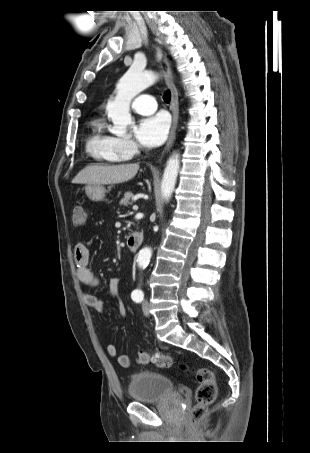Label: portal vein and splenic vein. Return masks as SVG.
<instances>
[{"label":"portal vein and splenic vein","instance_id":"obj_1","mask_svg":"<svg viewBox=\"0 0 310 453\" xmlns=\"http://www.w3.org/2000/svg\"><path fill=\"white\" fill-rule=\"evenodd\" d=\"M133 210H138V206H137V205H134V206H133Z\"/></svg>","mask_w":310,"mask_h":453}]
</instances>
